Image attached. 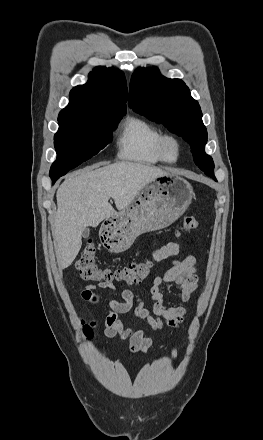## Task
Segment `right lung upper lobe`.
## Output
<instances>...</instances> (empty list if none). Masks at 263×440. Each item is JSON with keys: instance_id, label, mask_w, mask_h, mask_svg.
Returning a JSON list of instances; mask_svg holds the SVG:
<instances>
[{"instance_id": "1", "label": "right lung upper lobe", "mask_w": 263, "mask_h": 440, "mask_svg": "<svg viewBox=\"0 0 263 440\" xmlns=\"http://www.w3.org/2000/svg\"><path fill=\"white\" fill-rule=\"evenodd\" d=\"M127 96L123 72L98 66L85 85L71 90L69 105L59 113L58 121L78 122L98 114H125Z\"/></svg>"}]
</instances>
